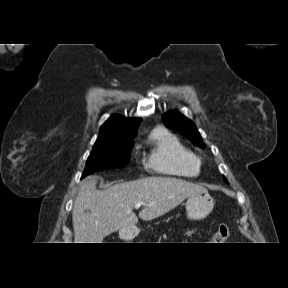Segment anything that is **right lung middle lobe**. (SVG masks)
Here are the masks:
<instances>
[{"mask_svg":"<svg viewBox=\"0 0 288 288\" xmlns=\"http://www.w3.org/2000/svg\"><path fill=\"white\" fill-rule=\"evenodd\" d=\"M132 144V139L124 136L96 141L82 177L100 169L124 167L129 162Z\"/></svg>","mask_w":288,"mask_h":288,"instance_id":"dd1d6c3e","label":"right lung middle lobe"}]
</instances>
